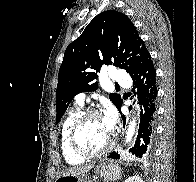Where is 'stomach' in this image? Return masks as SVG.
<instances>
[{"label": "stomach", "mask_w": 196, "mask_h": 182, "mask_svg": "<svg viewBox=\"0 0 196 182\" xmlns=\"http://www.w3.org/2000/svg\"><path fill=\"white\" fill-rule=\"evenodd\" d=\"M96 174L104 181L110 182L121 177L119 167L112 162L100 161L96 166ZM55 182H91L89 176L85 175H66L60 176Z\"/></svg>", "instance_id": "stomach-1"}]
</instances>
